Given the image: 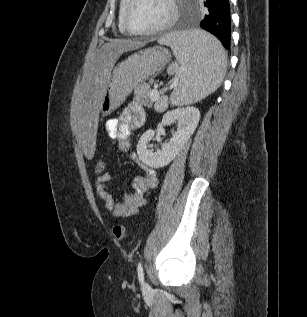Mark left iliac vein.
I'll list each match as a JSON object with an SVG mask.
<instances>
[{
	"label": "left iliac vein",
	"mask_w": 307,
	"mask_h": 317,
	"mask_svg": "<svg viewBox=\"0 0 307 317\" xmlns=\"http://www.w3.org/2000/svg\"><path fill=\"white\" fill-rule=\"evenodd\" d=\"M144 287H145V288H148V285H147V284H145V285H144Z\"/></svg>",
	"instance_id": "1"
}]
</instances>
